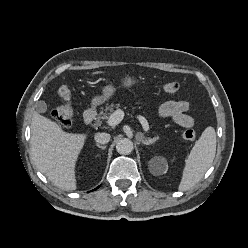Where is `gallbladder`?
Segmentation results:
<instances>
[{"mask_svg":"<svg viewBox=\"0 0 248 248\" xmlns=\"http://www.w3.org/2000/svg\"><path fill=\"white\" fill-rule=\"evenodd\" d=\"M36 110L39 113H45L47 111V104L44 101H38L36 103Z\"/></svg>","mask_w":248,"mask_h":248,"instance_id":"gallbladder-1","label":"gallbladder"}]
</instances>
